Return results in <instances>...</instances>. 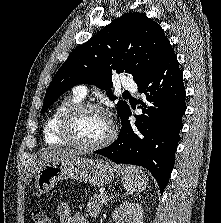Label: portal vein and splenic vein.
<instances>
[{
  "instance_id": "obj_1",
  "label": "portal vein and splenic vein",
  "mask_w": 221,
  "mask_h": 223,
  "mask_svg": "<svg viewBox=\"0 0 221 223\" xmlns=\"http://www.w3.org/2000/svg\"><path fill=\"white\" fill-rule=\"evenodd\" d=\"M102 195L105 196V197H107V193L106 192H103Z\"/></svg>"
}]
</instances>
